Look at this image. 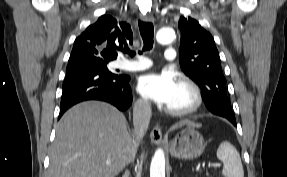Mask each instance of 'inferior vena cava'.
I'll return each mask as SVG.
<instances>
[{
    "instance_id": "1",
    "label": "inferior vena cava",
    "mask_w": 287,
    "mask_h": 177,
    "mask_svg": "<svg viewBox=\"0 0 287 177\" xmlns=\"http://www.w3.org/2000/svg\"><path fill=\"white\" fill-rule=\"evenodd\" d=\"M151 114H152L151 104L148 100H138L134 104L133 107L134 135H133L132 158L136 154L140 140L143 138L148 129Z\"/></svg>"
}]
</instances>
